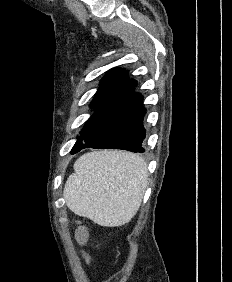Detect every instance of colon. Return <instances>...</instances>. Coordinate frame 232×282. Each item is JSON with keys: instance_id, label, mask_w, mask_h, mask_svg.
I'll return each instance as SVG.
<instances>
[{"instance_id": "5ec220e1", "label": "colon", "mask_w": 232, "mask_h": 282, "mask_svg": "<svg viewBox=\"0 0 232 282\" xmlns=\"http://www.w3.org/2000/svg\"><path fill=\"white\" fill-rule=\"evenodd\" d=\"M76 237L78 239L79 242H84L86 239V232L83 228L78 229L77 233H76Z\"/></svg>"}]
</instances>
